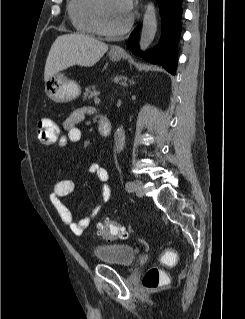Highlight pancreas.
<instances>
[{
    "label": "pancreas",
    "mask_w": 245,
    "mask_h": 319,
    "mask_svg": "<svg viewBox=\"0 0 245 319\" xmlns=\"http://www.w3.org/2000/svg\"><path fill=\"white\" fill-rule=\"evenodd\" d=\"M97 95L96 87L94 85L87 86L85 92L83 93V99L89 100Z\"/></svg>",
    "instance_id": "obj_1"
}]
</instances>
